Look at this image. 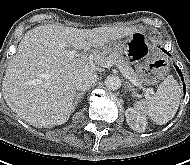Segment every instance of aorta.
<instances>
[{"label": "aorta", "mask_w": 190, "mask_h": 165, "mask_svg": "<svg viewBox=\"0 0 190 165\" xmlns=\"http://www.w3.org/2000/svg\"><path fill=\"white\" fill-rule=\"evenodd\" d=\"M105 86L109 90H117L121 86V79L116 75H109L105 79Z\"/></svg>", "instance_id": "1"}]
</instances>
